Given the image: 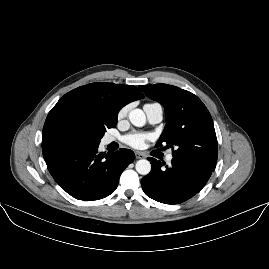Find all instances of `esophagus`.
Masks as SVG:
<instances>
[{"label":"esophagus","mask_w":269,"mask_h":269,"mask_svg":"<svg viewBox=\"0 0 269 269\" xmlns=\"http://www.w3.org/2000/svg\"><path fill=\"white\" fill-rule=\"evenodd\" d=\"M135 156H136V158H138V159H141V158H144L145 156H144V154H142L141 152H135Z\"/></svg>","instance_id":"obj_1"}]
</instances>
